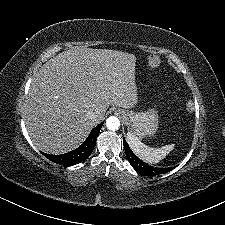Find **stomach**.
I'll return each instance as SVG.
<instances>
[{"label":"stomach","instance_id":"1","mask_svg":"<svg viewBox=\"0 0 225 225\" xmlns=\"http://www.w3.org/2000/svg\"><path fill=\"white\" fill-rule=\"evenodd\" d=\"M118 113L128 127V131L137 138L152 136L158 129V115L154 110L134 112L119 109Z\"/></svg>","mask_w":225,"mask_h":225}]
</instances>
